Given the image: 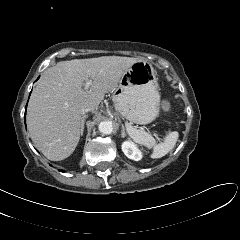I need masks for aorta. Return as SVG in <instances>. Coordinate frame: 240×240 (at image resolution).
Returning a JSON list of instances; mask_svg holds the SVG:
<instances>
[{
    "label": "aorta",
    "mask_w": 240,
    "mask_h": 240,
    "mask_svg": "<svg viewBox=\"0 0 240 240\" xmlns=\"http://www.w3.org/2000/svg\"><path fill=\"white\" fill-rule=\"evenodd\" d=\"M98 129L103 134H111L113 132V123L111 121H102L99 123Z\"/></svg>",
    "instance_id": "obj_1"
}]
</instances>
